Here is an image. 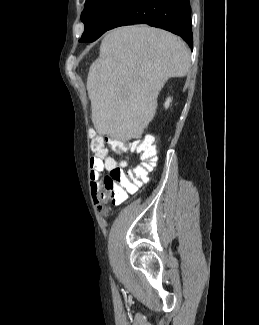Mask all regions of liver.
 I'll return each instance as SVG.
<instances>
[{
    "label": "liver",
    "mask_w": 259,
    "mask_h": 325,
    "mask_svg": "<svg viewBox=\"0 0 259 325\" xmlns=\"http://www.w3.org/2000/svg\"><path fill=\"white\" fill-rule=\"evenodd\" d=\"M189 68L187 45L168 31L145 25L109 31L87 77L96 132L123 142L140 138L164 84Z\"/></svg>",
    "instance_id": "liver-1"
}]
</instances>
